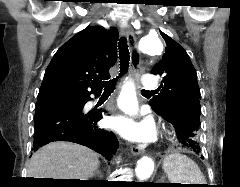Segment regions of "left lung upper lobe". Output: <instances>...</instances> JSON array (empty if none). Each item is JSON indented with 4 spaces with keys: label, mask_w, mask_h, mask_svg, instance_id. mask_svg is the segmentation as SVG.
<instances>
[{
    "label": "left lung upper lobe",
    "mask_w": 240,
    "mask_h": 187,
    "mask_svg": "<svg viewBox=\"0 0 240 187\" xmlns=\"http://www.w3.org/2000/svg\"><path fill=\"white\" fill-rule=\"evenodd\" d=\"M160 34L167 47L151 73L162 76L163 81L159 95L150 100V105L162 117L189 122L199 129L201 94L196 70L185 49L162 31Z\"/></svg>",
    "instance_id": "5c2ea615"
}]
</instances>
